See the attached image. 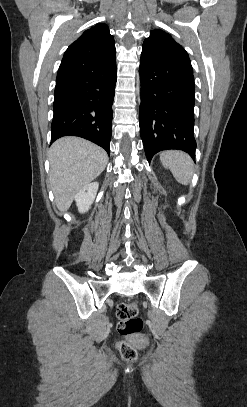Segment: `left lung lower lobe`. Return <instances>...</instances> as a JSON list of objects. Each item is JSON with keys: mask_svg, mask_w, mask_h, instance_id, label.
Segmentation results:
<instances>
[{"mask_svg": "<svg viewBox=\"0 0 247 407\" xmlns=\"http://www.w3.org/2000/svg\"><path fill=\"white\" fill-rule=\"evenodd\" d=\"M140 134L147 160L178 149L195 159L193 72L160 64L141 54Z\"/></svg>", "mask_w": 247, "mask_h": 407, "instance_id": "0a47b994", "label": "left lung lower lobe"}]
</instances>
